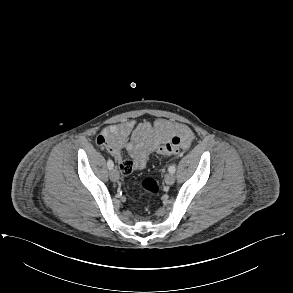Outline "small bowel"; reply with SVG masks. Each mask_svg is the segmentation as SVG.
Masks as SVG:
<instances>
[{
    "label": "small bowel",
    "mask_w": 293,
    "mask_h": 293,
    "mask_svg": "<svg viewBox=\"0 0 293 293\" xmlns=\"http://www.w3.org/2000/svg\"><path fill=\"white\" fill-rule=\"evenodd\" d=\"M172 136L180 137L184 149L194 139L193 131L185 124L163 118L153 123L143 121L137 124L130 119L107 126L97 136L96 143L117 162L120 172L128 175L143 169L157 147Z\"/></svg>",
    "instance_id": "small-bowel-1"
}]
</instances>
